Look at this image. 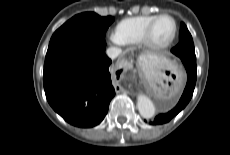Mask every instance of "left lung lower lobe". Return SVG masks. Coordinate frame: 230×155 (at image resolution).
Instances as JSON below:
<instances>
[{"mask_svg": "<svg viewBox=\"0 0 230 155\" xmlns=\"http://www.w3.org/2000/svg\"><path fill=\"white\" fill-rule=\"evenodd\" d=\"M186 71H187V84L184 89V92L177 103V105L170 111L166 113H161L157 115L154 119L149 120L151 125H160L169 122L173 117H175L185 106L189 103L196 84L197 78V67L196 60L191 58L181 59ZM146 121V120H145Z\"/></svg>", "mask_w": 230, "mask_h": 155, "instance_id": "0a47b994", "label": "left lung lower lobe"}]
</instances>
